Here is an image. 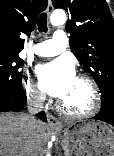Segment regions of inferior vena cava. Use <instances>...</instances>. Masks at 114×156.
Here are the masks:
<instances>
[{"mask_svg": "<svg viewBox=\"0 0 114 156\" xmlns=\"http://www.w3.org/2000/svg\"><path fill=\"white\" fill-rule=\"evenodd\" d=\"M45 97L43 94L35 91L31 92L28 96V118L35 121V114L39 113L44 106ZM25 156H35L34 153L28 152Z\"/></svg>", "mask_w": 114, "mask_h": 156, "instance_id": "obj_1", "label": "inferior vena cava"}]
</instances>
